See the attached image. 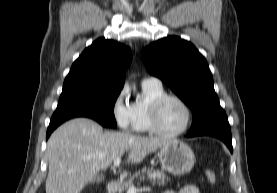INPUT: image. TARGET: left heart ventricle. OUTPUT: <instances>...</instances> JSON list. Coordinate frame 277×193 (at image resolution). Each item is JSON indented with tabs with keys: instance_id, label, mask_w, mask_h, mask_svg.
<instances>
[{
	"instance_id": "1",
	"label": "left heart ventricle",
	"mask_w": 277,
	"mask_h": 193,
	"mask_svg": "<svg viewBox=\"0 0 277 193\" xmlns=\"http://www.w3.org/2000/svg\"><path fill=\"white\" fill-rule=\"evenodd\" d=\"M186 122V111L173 99L166 100L160 108V125L168 132L181 129Z\"/></svg>"
}]
</instances>
